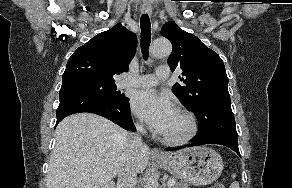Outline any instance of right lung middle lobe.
Instances as JSON below:
<instances>
[{
    "label": "right lung middle lobe",
    "mask_w": 292,
    "mask_h": 188,
    "mask_svg": "<svg viewBox=\"0 0 292 188\" xmlns=\"http://www.w3.org/2000/svg\"><path fill=\"white\" fill-rule=\"evenodd\" d=\"M64 91H81L114 105L121 104L127 99L120 91H116L115 81L95 78L80 77L62 80L59 93Z\"/></svg>",
    "instance_id": "right-lung-middle-lobe-1"
}]
</instances>
